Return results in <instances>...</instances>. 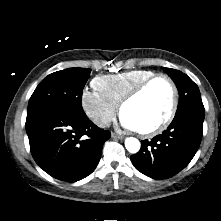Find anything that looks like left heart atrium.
I'll return each mask as SVG.
<instances>
[{"label":"left heart atrium","mask_w":221,"mask_h":221,"mask_svg":"<svg viewBox=\"0 0 221 221\" xmlns=\"http://www.w3.org/2000/svg\"><path fill=\"white\" fill-rule=\"evenodd\" d=\"M121 125L127 129H131V130H135V127L134 125L132 124V122L127 118L125 117L124 115H121Z\"/></svg>","instance_id":"1"}]
</instances>
